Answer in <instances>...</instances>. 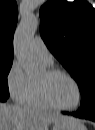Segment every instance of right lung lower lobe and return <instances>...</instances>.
<instances>
[{
    "label": "right lung lower lobe",
    "mask_w": 95,
    "mask_h": 130,
    "mask_svg": "<svg viewBox=\"0 0 95 130\" xmlns=\"http://www.w3.org/2000/svg\"><path fill=\"white\" fill-rule=\"evenodd\" d=\"M9 96H3V95H0V101L4 102L8 99Z\"/></svg>",
    "instance_id": "98d812e1"
}]
</instances>
